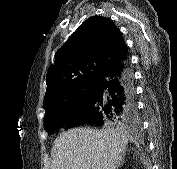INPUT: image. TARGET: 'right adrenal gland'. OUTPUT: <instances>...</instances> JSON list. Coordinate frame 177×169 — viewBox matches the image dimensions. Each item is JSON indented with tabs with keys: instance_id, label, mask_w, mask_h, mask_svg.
Wrapping results in <instances>:
<instances>
[{
	"instance_id": "1",
	"label": "right adrenal gland",
	"mask_w": 177,
	"mask_h": 169,
	"mask_svg": "<svg viewBox=\"0 0 177 169\" xmlns=\"http://www.w3.org/2000/svg\"><path fill=\"white\" fill-rule=\"evenodd\" d=\"M122 163H123V161L119 162V163L117 164L116 168L118 169V168L121 166Z\"/></svg>"
}]
</instances>
